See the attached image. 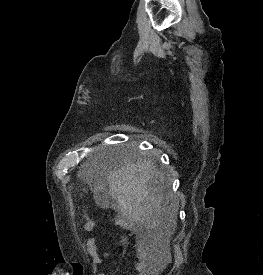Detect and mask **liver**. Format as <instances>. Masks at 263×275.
I'll use <instances>...</instances> for the list:
<instances>
[{
  "label": "liver",
  "mask_w": 263,
  "mask_h": 275,
  "mask_svg": "<svg viewBox=\"0 0 263 275\" xmlns=\"http://www.w3.org/2000/svg\"><path fill=\"white\" fill-rule=\"evenodd\" d=\"M89 173L88 165L79 169V176ZM109 195L119 213L129 222L153 227L167 222L176 226L178 206L165 196L164 175L150 160H124L107 175ZM100 189L96 188V192Z\"/></svg>",
  "instance_id": "6515ba94"
}]
</instances>
